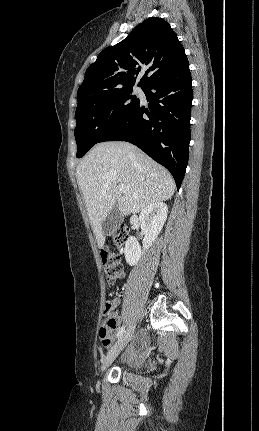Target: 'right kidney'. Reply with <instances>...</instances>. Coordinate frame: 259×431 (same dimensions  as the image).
<instances>
[{
  "mask_svg": "<svg viewBox=\"0 0 259 431\" xmlns=\"http://www.w3.org/2000/svg\"><path fill=\"white\" fill-rule=\"evenodd\" d=\"M168 207L163 202H156L145 207L139 215L141 230L145 234L143 248L134 236H130L125 244L126 262L134 266L140 260L145 250L152 246L167 219Z\"/></svg>",
  "mask_w": 259,
  "mask_h": 431,
  "instance_id": "ca27d5eb",
  "label": "right kidney"
}]
</instances>
